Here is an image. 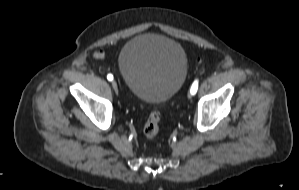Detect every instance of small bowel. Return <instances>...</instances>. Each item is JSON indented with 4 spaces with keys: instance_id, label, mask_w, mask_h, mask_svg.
<instances>
[{
    "instance_id": "1",
    "label": "small bowel",
    "mask_w": 299,
    "mask_h": 190,
    "mask_svg": "<svg viewBox=\"0 0 299 190\" xmlns=\"http://www.w3.org/2000/svg\"><path fill=\"white\" fill-rule=\"evenodd\" d=\"M105 56V52L103 50H98L96 53H95V57L96 58H103Z\"/></svg>"
}]
</instances>
